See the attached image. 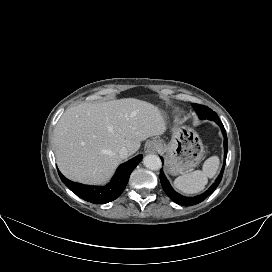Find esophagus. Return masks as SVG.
I'll use <instances>...</instances> for the list:
<instances>
[{"mask_svg":"<svg viewBox=\"0 0 272 272\" xmlns=\"http://www.w3.org/2000/svg\"><path fill=\"white\" fill-rule=\"evenodd\" d=\"M156 148V144L154 142H150L146 147V152H153Z\"/></svg>","mask_w":272,"mask_h":272,"instance_id":"esophagus-1","label":"esophagus"}]
</instances>
